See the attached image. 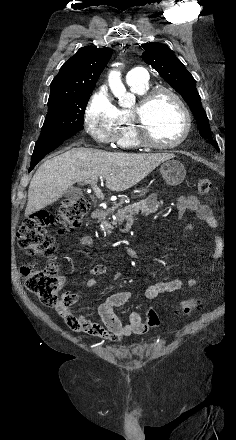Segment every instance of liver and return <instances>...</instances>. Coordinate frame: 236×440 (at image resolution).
Returning <instances> with one entry per match:
<instances>
[{"mask_svg": "<svg viewBox=\"0 0 236 440\" xmlns=\"http://www.w3.org/2000/svg\"><path fill=\"white\" fill-rule=\"evenodd\" d=\"M172 153L134 154L73 148L45 161L33 176L25 216L59 200L76 182L104 177L109 190L125 191L147 177Z\"/></svg>", "mask_w": 236, "mask_h": 440, "instance_id": "obj_1", "label": "liver"}]
</instances>
